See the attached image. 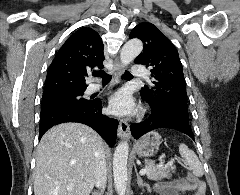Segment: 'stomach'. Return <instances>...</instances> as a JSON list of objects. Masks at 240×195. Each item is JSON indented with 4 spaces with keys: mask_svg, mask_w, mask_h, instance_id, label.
<instances>
[{
    "mask_svg": "<svg viewBox=\"0 0 240 195\" xmlns=\"http://www.w3.org/2000/svg\"><path fill=\"white\" fill-rule=\"evenodd\" d=\"M160 143L161 135L157 131H149L137 139L133 149L139 157H151L157 153Z\"/></svg>",
    "mask_w": 240,
    "mask_h": 195,
    "instance_id": "stomach-1",
    "label": "stomach"
}]
</instances>
